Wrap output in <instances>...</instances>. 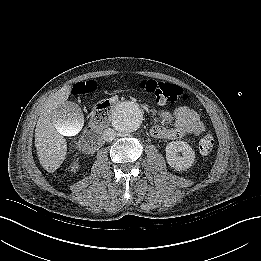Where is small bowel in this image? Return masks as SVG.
<instances>
[{
	"instance_id": "small-bowel-1",
	"label": "small bowel",
	"mask_w": 261,
	"mask_h": 261,
	"mask_svg": "<svg viewBox=\"0 0 261 261\" xmlns=\"http://www.w3.org/2000/svg\"><path fill=\"white\" fill-rule=\"evenodd\" d=\"M159 117L163 122L172 123L173 126L166 128L154 125L150 132L156 138L178 139L188 135H199L205 129L198 112L187 106H180L173 112L162 110Z\"/></svg>"
}]
</instances>
